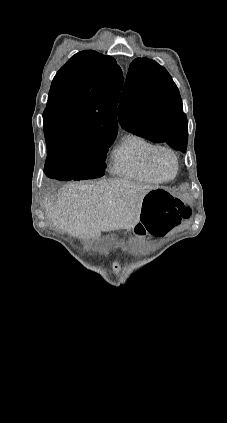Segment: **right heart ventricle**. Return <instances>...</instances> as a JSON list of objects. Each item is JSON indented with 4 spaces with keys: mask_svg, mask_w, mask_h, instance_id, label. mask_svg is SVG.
<instances>
[{
    "mask_svg": "<svg viewBox=\"0 0 227 423\" xmlns=\"http://www.w3.org/2000/svg\"><path fill=\"white\" fill-rule=\"evenodd\" d=\"M154 146L142 135L126 134L113 151L111 172L118 177L145 184L161 183L147 163L148 153Z\"/></svg>",
    "mask_w": 227,
    "mask_h": 423,
    "instance_id": "1",
    "label": "right heart ventricle"
}]
</instances>
